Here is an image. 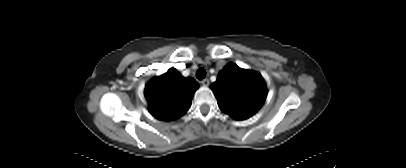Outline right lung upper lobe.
<instances>
[{
	"label": "right lung upper lobe",
	"mask_w": 406,
	"mask_h": 168,
	"mask_svg": "<svg viewBox=\"0 0 406 168\" xmlns=\"http://www.w3.org/2000/svg\"><path fill=\"white\" fill-rule=\"evenodd\" d=\"M198 87L193 78L183 77L175 68L169 69L145 87L150 113L163 121L178 119L189 109Z\"/></svg>",
	"instance_id": "1"
}]
</instances>
